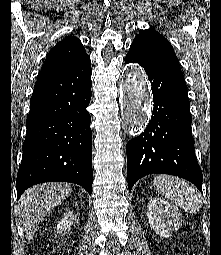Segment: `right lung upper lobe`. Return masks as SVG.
I'll list each match as a JSON object with an SVG mask.
<instances>
[{
	"label": "right lung upper lobe",
	"instance_id": "right-lung-upper-lobe-1",
	"mask_svg": "<svg viewBox=\"0 0 221 255\" xmlns=\"http://www.w3.org/2000/svg\"><path fill=\"white\" fill-rule=\"evenodd\" d=\"M86 58L88 55L81 41L77 37H67L50 50L37 80L62 73Z\"/></svg>",
	"mask_w": 221,
	"mask_h": 255
}]
</instances>
